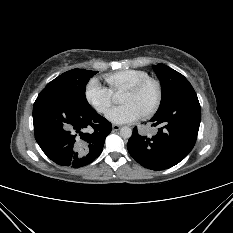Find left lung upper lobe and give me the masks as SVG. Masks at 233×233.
<instances>
[{"instance_id": "1", "label": "left lung upper lobe", "mask_w": 233, "mask_h": 233, "mask_svg": "<svg viewBox=\"0 0 233 233\" xmlns=\"http://www.w3.org/2000/svg\"><path fill=\"white\" fill-rule=\"evenodd\" d=\"M153 69L160 80L162 88V99L157 114L168 105L178 88L188 80L182 74L164 64L154 65Z\"/></svg>"}]
</instances>
